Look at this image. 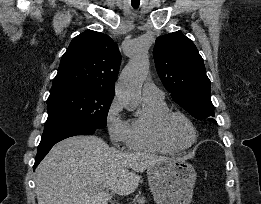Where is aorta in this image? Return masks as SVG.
<instances>
[{
  "mask_svg": "<svg viewBox=\"0 0 261 204\" xmlns=\"http://www.w3.org/2000/svg\"><path fill=\"white\" fill-rule=\"evenodd\" d=\"M149 57L145 52H138L122 70L117 88V97L124 102L127 110L139 113L141 85L148 74Z\"/></svg>",
  "mask_w": 261,
  "mask_h": 204,
  "instance_id": "aorta-1",
  "label": "aorta"
}]
</instances>
